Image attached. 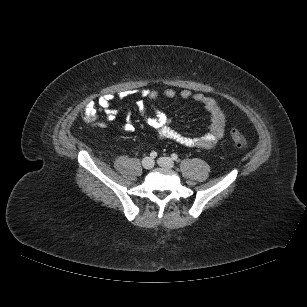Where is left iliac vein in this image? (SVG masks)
<instances>
[{"label":"left iliac vein","mask_w":307,"mask_h":307,"mask_svg":"<svg viewBox=\"0 0 307 307\" xmlns=\"http://www.w3.org/2000/svg\"><path fill=\"white\" fill-rule=\"evenodd\" d=\"M158 164L164 168H173L174 167V161L169 157H161L158 159Z\"/></svg>","instance_id":"left-iliac-vein-1"}]
</instances>
